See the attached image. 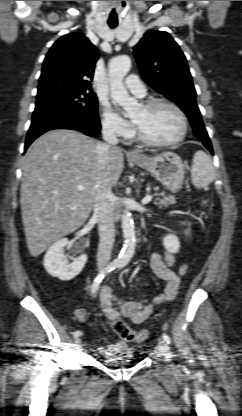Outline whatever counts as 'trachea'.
<instances>
[{
	"instance_id": "trachea-1",
	"label": "trachea",
	"mask_w": 242,
	"mask_h": 416,
	"mask_svg": "<svg viewBox=\"0 0 242 416\" xmlns=\"http://www.w3.org/2000/svg\"><path fill=\"white\" fill-rule=\"evenodd\" d=\"M108 25H109L110 28L113 29V28H115L117 26V23L108 22Z\"/></svg>"
}]
</instances>
